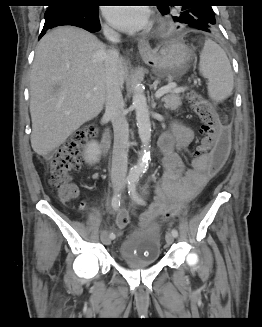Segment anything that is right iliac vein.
<instances>
[{"instance_id": "63e3f726", "label": "right iliac vein", "mask_w": 262, "mask_h": 327, "mask_svg": "<svg viewBox=\"0 0 262 327\" xmlns=\"http://www.w3.org/2000/svg\"><path fill=\"white\" fill-rule=\"evenodd\" d=\"M120 185H121V182H120V181H116V182H114V184H113V189H114L115 192L119 191V189H120ZM101 241H102L105 245H110L112 239L110 238L109 234H108L106 231H103V232L101 233Z\"/></svg>"}]
</instances>
